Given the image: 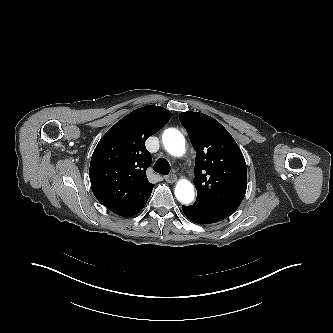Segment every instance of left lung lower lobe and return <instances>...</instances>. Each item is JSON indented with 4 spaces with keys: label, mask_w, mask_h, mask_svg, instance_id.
<instances>
[{
    "label": "left lung lower lobe",
    "mask_w": 333,
    "mask_h": 333,
    "mask_svg": "<svg viewBox=\"0 0 333 333\" xmlns=\"http://www.w3.org/2000/svg\"><path fill=\"white\" fill-rule=\"evenodd\" d=\"M182 210L189 220L198 224H211L229 217L225 212L197 201L191 206H182Z\"/></svg>",
    "instance_id": "left-lung-lower-lobe-1"
}]
</instances>
